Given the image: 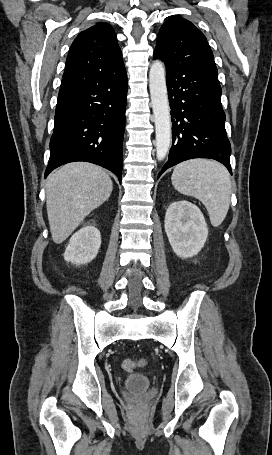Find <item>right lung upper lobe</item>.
Segmentation results:
<instances>
[{"label":"right lung upper lobe","mask_w":272,"mask_h":455,"mask_svg":"<svg viewBox=\"0 0 272 455\" xmlns=\"http://www.w3.org/2000/svg\"><path fill=\"white\" fill-rule=\"evenodd\" d=\"M126 73L116 34L108 23L82 31L72 43L58 96Z\"/></svg>","instance_id":"cb5924a9"}]
</instances>
